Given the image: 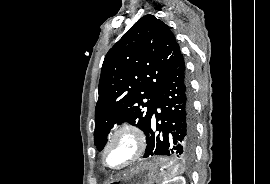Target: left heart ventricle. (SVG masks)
Returning <instances> with one entry per match:
<instances>
[{
	"mask_svg": "<svg viewBox=\"0 0 270 184\" xmlns=\"http://www.w3.org/2000/svg\"><path fill=\"white\" fill-rule=\"evenodd\" d=\"M134 152L133 139L123 134L117 138L106 155V161L109 166L116 167L127 161Z\"/></svg>",
	"mask_w": 270,
	"mask_h": 184,
	"instance_id": "obj_1",
	"label": "left heart ventricle"
}]
</instances>
